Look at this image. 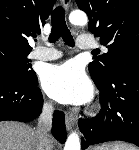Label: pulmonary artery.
<instances>
[{"instance_id": "pulmonary-artery-1", "label": "pulmonary artery", "mask_w": 139, "mask_h": 150, "mask_svg": "<svg viewBox=\"0 0 139 150\" xmlns=\"http://www.w3.org/2000/svg\"><path fill=\"white\" fill-rule=\"evenodd\" d=\"M77 47L80 50H92L99 47V44L90 36L82 35L78 38ZM61 53L49 44L47 46L37 47L33 53L32 57L42 61H50L58 59Z\"/></svg>"}]
</instances>
